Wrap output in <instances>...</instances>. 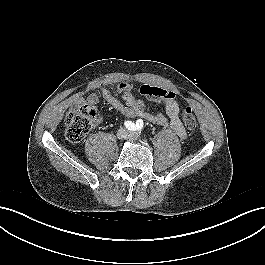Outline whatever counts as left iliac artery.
Here are the masks:
<instances>
[{
    "label": "left iliac artery",
    "instance_id": "44dca946",
    "mask_svg": "<svg viewBox=\"0 0 265 265\" xmlns=\"http://www.w3.org/2000/svg\"><path fill=\"white\" fill-rule=\"evenodd\" d=\"M143 125H144V123L141 119L136 121V129L137 130H141L143 128Z\"/></svg>",
    "mask_w": 265,
    "mask_h": 265
}]
</instances>
